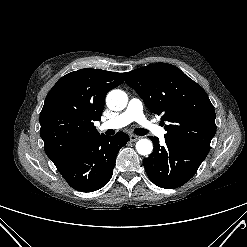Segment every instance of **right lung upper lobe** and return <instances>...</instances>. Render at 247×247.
<instances>
[{
    "label": "right lung upper lobe",
    "instance_id": "right-lung-upper-lobe-1",
    "mask_svg": "<svg viewBox=\"0 0 247 247\" xmlns=\"http://www.w3.org/2000/svg\"><path fill=\"white\" fill-rule=\"evenodd\" d=\"M123 83L120 73L85 68L66 74L49 91L40 113V136L47 156L59 167L99 132L106 94Z\"/></svg>",
    "mask_w": 247,
    "mask_h": 247
}]
</instances>
